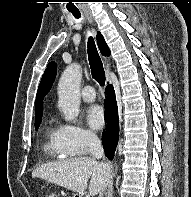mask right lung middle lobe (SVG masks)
<instances>
[{
    "mask_svg": "<svg viewBox=\"0 0 191 197\" xmlns=\"http://www.w3.org/2000/svg\"><path fill=\"white\" fill-rule=\"evenodd\" d=\"M40 122L35 123V128L37 129L39 127Z\"/></svg>",
    "mask_w": 191,
    "mask_h": 197,
    "instance_id": "obj_1",
    "label": "right lung middle lobe"
}]
</instances>
